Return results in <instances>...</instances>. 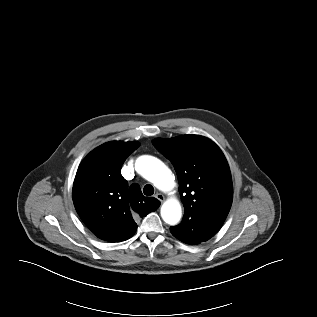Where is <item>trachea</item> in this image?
Masks as SVG:
<instances>
[{
	"label": "trachea",
	"instance_id": "obj_1",
	"mask_svg": "<svg viewBox=\"0 0 317 317\" xmlns=\"http://www.w3.org/2000/svg\"><path fill=\"white\" fill-rule=\"evenodd\" d=\"M143 193L147 196H151L154 194V188L152 185L147 184L145 185L144 189H143Z\"/></svg>",
	"mask_w": 317,
	"mask_h": 317
}]
</instances>
